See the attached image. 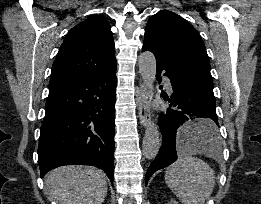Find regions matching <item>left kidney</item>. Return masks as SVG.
<instances>
[{
    "label": "left kidney",
    "instance_id": "5707ae66",
    "mask_svg": "<svg viewBox=\"0 0 261 204\" xmlns=\"http://www.w3.org/2000/svg\"><path fill=\"white\" fill-rule=\"evenodd\" d=\"M168 204H178V202L174 199H171V201Z\"/></svg>",
    "mask_w": 261,
    "mask_h": 204
}]
</instances>
